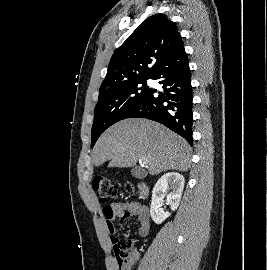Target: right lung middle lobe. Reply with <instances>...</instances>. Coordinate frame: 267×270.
Returning <instances> with one entry per match:
<instances>
[{
	"instance_id": "dd1d6c3e",
	"label": "right lung middle lobe",
	"mask_w": 267,
	"mask_h": 270,
	"mask_svg": "<svg viewBox=\"0 0 267 270\" xmlns=\"http://www.w3.org/2000/svg\"><path fill=\"white\" fill-rule=\"evenodd\" d=\"M149 77L127 81L99 92L91 131V147L111 125L122 120L148 91ZM139 84H142L140 86Z\"/></svg>"
}]
</instances>
